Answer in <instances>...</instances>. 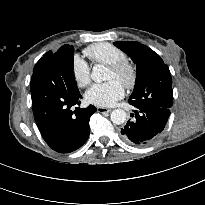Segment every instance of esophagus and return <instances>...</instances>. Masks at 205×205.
Here are the masks:
<instances>
[{"mask_svg":"<svg viewBox=\"0 0 205 205\" xmlns=\"http://www.w3.org/2000/svg\"><path fill=\"white\" fill-rule=\"evenodd\" d=\"M97 111L100 113H105V112L109 113L111 109L105 107H97Z\"/></svg>","mask_w":205,"mask_h":205,"instance_id":"34e87169","label":"esophagus"}]
</instances>
